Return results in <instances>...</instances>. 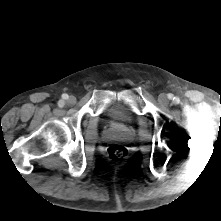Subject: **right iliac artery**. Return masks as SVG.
<instances>
[{
    "label": "right iliac artery",
    "mask_w": 221,
    "mask_h": 221,
    "mask_svg": "<svg viewBox=\"0 0 221 221\" xmlns=\"http://www.w3.org/2000/svg\"><path fill=\"white\" fill-rule=\"evenodd\" d=\"M68 96L65 94L63 95V99H67ZM59 107H63L64 106V101L63 100H60L59 103H58Z\"/></svg>",
    "instance_id": "obj_1"
}]
</instances>
